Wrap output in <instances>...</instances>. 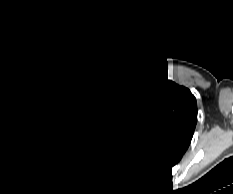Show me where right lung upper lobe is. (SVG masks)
I'll use <instances>...</instances> for the list:
<instances>
[{"label": "right lung upper lobe", "mask_w": 233, "mask_h": 194, "mask_svg": "<svg viewBox=\"0 0 233 194\" xmlns=\"http://www.w3.org/2000/svg\"><path fill=\"white\" fill-rule=\"evenodd\" d=\"M85 108L83 97H70L56 105L52 119L56 146L77 161L91 158L99 147L88 128Z\"/></svg>", "instance_id": "obj_1"}]
</instances>
